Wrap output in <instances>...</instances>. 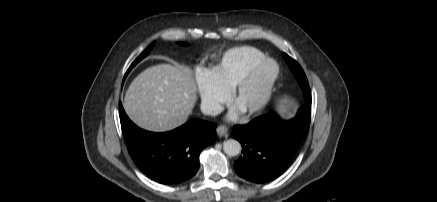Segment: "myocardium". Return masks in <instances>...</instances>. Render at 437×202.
<instances>
[{
  "mask_svg": "<svg viewBox=\"0 0 437 202\" xmlns=\"http://www.w3.org/2000/svg\"><path fill=\"white\" fill-rule=\"evenodd\" d=\"M271 64L274 67L273 74L271 75L270 79L268 80L264 91L258 100V102L253 105L250 108H247L242 111V114L245 117H252L264 110V108L268 105L270 102L276 83L280 76V66L277 61H275L272 58H264L255 64H253L249 70L246 72V74L240 79V81L235 85V87L232 89V102L236 103V101L239 99V97L243 94V92L248 88V86L253 82L256 75L260 71L261 68L264 66Z\"/></svg>",
  "mask_w": 437,
  "mask_h": 202,
  "instance_id": "f54148a6",
  "label": "myocardium"
}]
</instances>
